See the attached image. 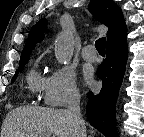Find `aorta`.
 <instances>
[{
	"instance_id": "obj_1",
	"label": "aorta",
	"mask_w": 144,
	"mask_h": 137,
	"mask_svg": "<svg viewBox=\"0 0 144 137\" xmlns=\"http://www.w3.org/2000/svg\"><path fill=\"white\" fill-rule=\"evenodd\" d=\"M74 46L71 34H62L55 40V57L61 64L70 62L73 56Z\"/></svg>"
}]
</instances>
